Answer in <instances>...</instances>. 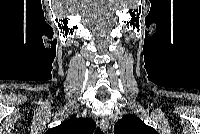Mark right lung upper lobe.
<instances>
[{"instance_id":"right-lung-upper-lobe-1","label":"right lung upper lobe","mask_w":200,"mask_h":134,"mask_svg":"<svg viewBox=\"0 0 200 134\" xmlns=\"http://www.w3.org/2000/svg\"><path fill=\"white\" fill-rule=\"evenodd\" d=\"M96 123L90 118L75 116L71 120L62 122L59 126L49 129L47 134H92Z\"/></svg>"}]
</instances>
